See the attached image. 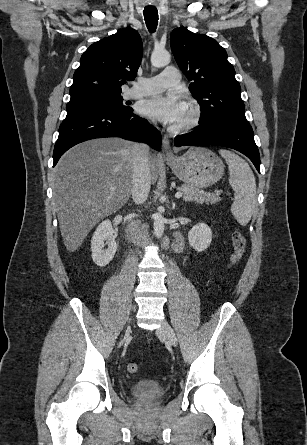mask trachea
<instances>
[{"mask_svg":"<svg viewBox=\"0 0 307 445\" xmlns=\"http://www.w3.org/2000/svg\"><path fill=\"white\" fill-rule=\"evenodd\" d=\"M144 20L150 33H153L156 30L158 24L157 8L153 6L145 7Z\"/></svg>","mask_w":307,"mask_h":445,"instance_id":"obj_1","label":"trachea"}]
</instances>
